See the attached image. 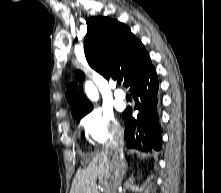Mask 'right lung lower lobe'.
Wrapping results in <instances>:
<instances>
[{"label": "right lung lower lobe", "instance_id": "1", "mask_svg": "<svg viewBox=\"0 0 221 193\" xmlns=\"http://www.w3.org/2000/svg\"><path fill=\"white\" fill-rule=\"evenodd\" d=\"M135 99L137 117H132V109L124 111L125 139L127 146L141 151L159 150L161 147L160 125L157 123L158 79L151 60H147L127 83Z\"/></svg>", "mask_w": 221, "mask_h": 193}]
</instances>
